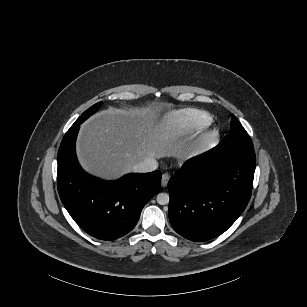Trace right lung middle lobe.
I'll return each instance as SVG.
<instances>
[{
	"instance_id": "obj_1",
	"label": "right lung middle lobe",
	"mask_w": 307,
	"mask_h": 307,
	"mask_svg": "<svg viewBox=\"0 0 307 307\" xmlns=\"http://www.w3.org/2000/svg\"><path fill=\"white\" fill-rule=\"evenodd\" d=\"M102 102H98L95 105L91 106L89 109H87L78 119L79 122H84L87 118H89L92 114H94L96 111L99 110L101 107Z\"/></svg>"
}]
</instances>
